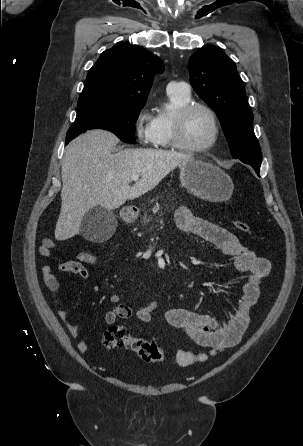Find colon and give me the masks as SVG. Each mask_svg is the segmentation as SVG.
<instances>
[{
  "label": "colon",
  "mask_w": 303,
  "mask_h": 446,
  "mask_svg": "<svg viewBox=\"0 0 303 446\" xmlns=\"http://www.w3.org/2000/svg\"><path fill=\"white\" fill-rule=\"evenodd\" d=\"M233 226L244 233H250V226L242 221L233 220ZM79 260L85 263H95L97 256L89 251H81L78 254ZM102 344L107 349L131 348L146 363H159L165 358L164 351L158 347L153 340L136 338L131 336L124 326H111L103 334Z\"/></svg>",
  "instance_id": "obj_1"
}]
</instances>
